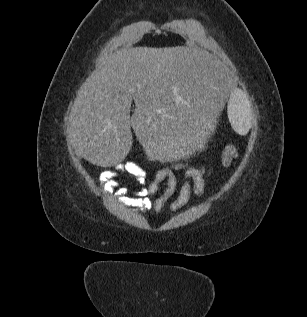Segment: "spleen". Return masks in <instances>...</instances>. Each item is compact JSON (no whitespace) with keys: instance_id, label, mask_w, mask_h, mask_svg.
<instances>
[{"instance_id":"3e777b00","label":"spleen","mask_w":307,"mask_h":317,"mask_svg":"<svg viewBox=\"0 0 307 317\" xmlns=\"http://www.w3.org/2000/svg\"><path fill=\"white\" fill-rule=\"evenodd\" d=\"M228 117L233 129L240 135H245L251 125V109L247 105V97L241 91H236L229 99Z\"/></svg>"}]
</instances>
